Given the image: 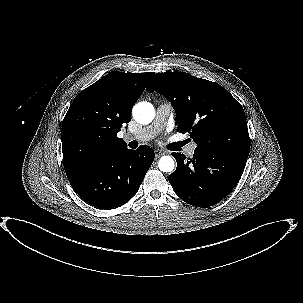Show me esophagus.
I'll list each match as a JSON object with an SVG mask.
<instances>
[{"label":"esophagus","mask_w":303,"mask_h":303,"mask_svg":"<svg viewBox=\"0 0 303 303\" xmlns=\"http://www.w3.org/2000/svg\"><path fill=\"white\" fill-rule=\"evenodd\" d=\"M164 154L165 153L162 150H159V149L155 150V157L156 158H159V157H161Z\"/></svg>","instance_id":"1"}]
</instances>
